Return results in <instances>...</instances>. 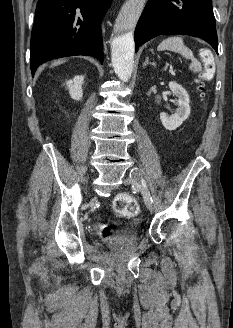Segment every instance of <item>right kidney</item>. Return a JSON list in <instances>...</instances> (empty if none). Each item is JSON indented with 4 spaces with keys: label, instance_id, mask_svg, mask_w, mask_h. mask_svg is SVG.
Segmentation results:
<instances>
[{
    "label": "right kidney",
    "instance_id": "1",
    "mask_svg": "<svg viewBox=\"0 0 233 328\" xmlns=\"http://www.w3.org/2000/svg\"><path fill=\"white\" fill-rule=\"evenodd\" d=\"M84 83V76H75L72 80H68L66 85L72 99L79 101L82 98V84Z\"/></svg>",
    "mask_w": 233,
    "mask_h": 328
}]
</instances>
